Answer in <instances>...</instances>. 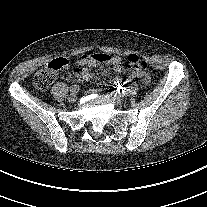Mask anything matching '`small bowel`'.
<instances>
[{
    "label": "small bowel",
    "instance_id": "small-bowel-1",
    "mask_svg": "<svg viewBox=\"0 0 207 207\" xmlns=\"http://www.w3.org/2000/svg\"><path fill=\"white\" fill-rule=\"evenodd\" d=\"M95 55V54H94ZM89 56L85 55L82 56L78 60L79 68L75 70V74L78 78L83 80H89L92 78V72L91 68L99 66L101 64H107L112 65L114 71L120 74L129 75L132 76L133 74L121 63L120 59L117 56H112V58L109 61L101 62L98 61L95 56ZM149 76L148 75H142L140 77V83L141 84H148L149 83Z\"/></svg>",
    "mask_w": 207,
    "mask_h": 207
}]
</instances>
